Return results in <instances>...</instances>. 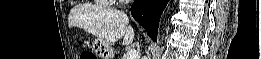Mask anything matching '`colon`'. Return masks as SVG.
I'll return each instance as SVG.
<instances>
[{"label":"colon","instance_id":"obj_1","mask_svg":"<svg viewBox=\"0 0 261 59\" xmlns=\"http://www.w3.org/2000/svg\"><path fill=\"white\" fill-rule=\"evenodd\" d=\"M81 58L83 59H91V58H95L91 53H83L81 55Z\"/></svg>","mask_w":261,"mask_h":59}]
</instances>
